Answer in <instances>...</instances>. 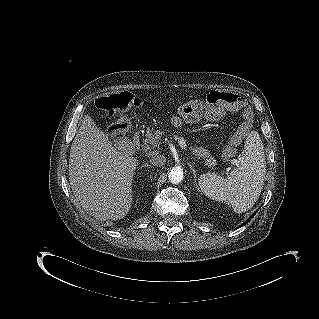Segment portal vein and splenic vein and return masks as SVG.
Instances as JSON below:
<instances>
[{
    "label": "portal vein and splenic vein",
    "mask_w": 319,
    "mask_h": 319,
    "mask_svg": "<svg viewBox=\"0 0 319 319\" xmlns=\"http://www.w3.org/2000/svg\"><path fill=\"white\" fill-rule=\"evenodd\" d=\"M176 139L178 140V143H179L180 147H181L182 149L186 150V143H185V141H184L182 138L177 137V136H176ZM235 161H236V160H235Z\"/></svg>",
    "instance_id": "1"
}]
</instances>
